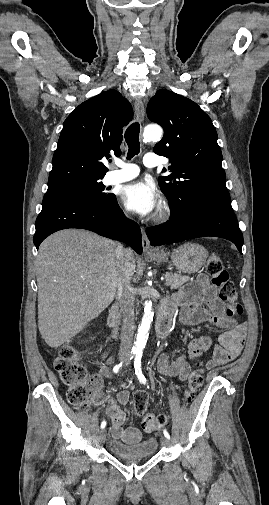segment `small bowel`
<instances>
[{
	"instance_id": "1",
	"label": "small bowel",
	"mask_w": 269,
	"mask_h": 505,
	"mask_svg": "<svg viewBox=\"0 0 269 505\" xmlns=\"http://www.w3.org/2000/svg\"><path fill=\"white\" fill-rule=\"evenodd\" d=\"M173 308H181L180 321L185 326H198L202 324L213 325L222 330L219 336V345L213 348L211 359L207 363V369L234 360L240 354L245 339L247 325L237 323L225 314L224 303L218 298L216 289L209 284L208 277L200 274L197 279L182 288L172 300H169ZM212 347V341L208 336H200L188 344V356L181 354L172 362L165 354L158 359L159 371L168 376H176L180 380L187 379L190 373L189 359L201 356ZM106 366L101 371V376H108ZM108 413L111 418L110 432L113 438L121 439L127 443H136L141 439V432L136 427L124 428L126 415L119 404L129 403V393L122 390L116 398L106 396Z\"/></svg>"
}]
</instances>
